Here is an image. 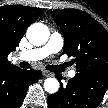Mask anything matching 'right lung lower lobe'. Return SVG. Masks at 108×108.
<instances>
[{
	"mask_svg": "<svg viewBox=\"0 0 108 108\" xmlns=\"http://www.w3.org/2000/svg\"><path fill=\"white\" fill-rule=\"evenodd\" d=\"M42 72L19 68L0 71V108H19L28 87L41 78Z\"/></svg>",
	"mask_w": 108,
	"mask_h": 108,
	"instance_id": "98d812e1",
	"label": "right lung lower lobe"
}]
</instances>
